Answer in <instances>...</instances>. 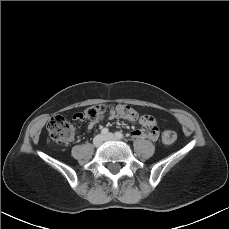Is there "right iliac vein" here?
Listing matches in <instances>:
<instances>
[{
    "instance_id": "1",
    "label": "right iliac vein",
    "mask_w": 229,
    "mask_h": 229,
    "mask_svg": "<svg viewBox=\"0 0 229 229\" xmlns=\"http://www.w3.org/2000/svg\"><path fill=\"white\" fill-rule=\"evenodd\" d=\"M104 141V136L99 134L97 136H95V138L93 139V144L96 147H99Z\"/></svg>"
}]
</instances>
